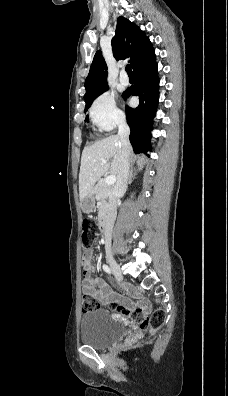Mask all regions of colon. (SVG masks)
I'll list each match as a JSON object with an SVG mask.
<instances>
[{
	"mask_svg": "<svg viewBox=\"0 0 228 396\" xmlns=\"http://www.w3.org/2000/svg\"><path fill=\"white\" fill-rule=\"evenodd\" d=\"M93 228V222L90 219H85L82 224V243L84 246L83 259L88 254V247L90 246L89 232ZM99 308V302L91 295H84L82 300V310L91 311ZM123 315L130 316V312L126 309H119ZM165 320V313L161 310H156L149 316L140 320V327L143 330L155 331L159 329Z\"/></svg>",
	"mask_w": 228,
	"mask_h": 396,
	"instance_id": "colon-1",
	"label": "colon"
}]
</instances>
